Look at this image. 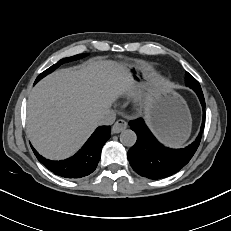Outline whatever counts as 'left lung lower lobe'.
<instances>
[{
  "label": "left lung lower lobe",
  "instance_id": "obj_1",
  "mask_svg": "<svg viewBox=\"0 0 231 231\" xmlns=\"http://www.w3.org/2000/svg\"><path fill=\"white\" fill-rule=\"evenodd\" d=\"M195 92L202 105L203 121L198 137L186 148L165 147L153 136L141 118L129 122L130 128L137 134L136 143L128 151V160L136 173L157 180L177 173L190 161L200 144L205 125L204 96L200 91Z\"/></svg>",
  "mask_w": 231,
  "mask_h": 231
}]
</instances>
